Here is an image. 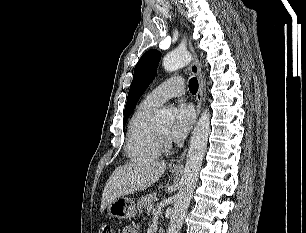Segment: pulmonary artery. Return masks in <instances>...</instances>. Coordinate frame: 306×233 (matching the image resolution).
Returning <instances> with one entry per match:
<instances>
[{
    "mask_svg": "<svg viewBox=\"0 0 306 233\" xmlns=\"http://www.w3.org/2000/svg\"><path fill=\"white\" fill-rule=\"evenodd\" d=\"M185 92L184 90V83L181 77H172L155 89H153L146 98L144 99L149 104L154 106H160L166 100L183 95Z\"/></svg>",
    "mask_w": 306,
    "mask_h": 233,
    "instance_id": "1",
    "label": "pulmonary artery"
}]
</instances>
